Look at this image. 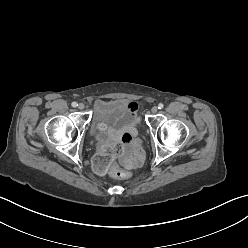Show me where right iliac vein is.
<instances>
[{
    "label": "right iliac vein",
    "mask_w": 248,
    "mask_h": 248,
    "mask_svg": "<svg viewBox=\"0 0 248 248\" xmlns=\"http://www.w3.org/2000/svg\"><path fill=\"white\" fill-rule=\"evenodd\" d=\"M85 108V105L83 103H79L78 109L83 110Z\"/></svg>",
    "instance_id": "1"
}]
</instances>
